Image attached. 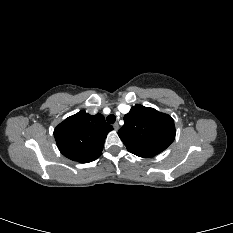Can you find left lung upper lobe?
<instances>
[{
	"label": "left lung upper lobe",
	"mask_w": 233,
	"mask_h": 233,
	"mask_svg": "<svg viewBox=\"0 0 233 233\" xmlns=\"http://www.w3.org/2000/svg\"><path fill=\"white\" fill-rule=\"evenodd\" d=\"M174 120L154 108L135 105L118 132L129 152L144 158L164 151L175 138Z\"/></svg>",
	"instance_id": "obj_1"
}]
</instances>
